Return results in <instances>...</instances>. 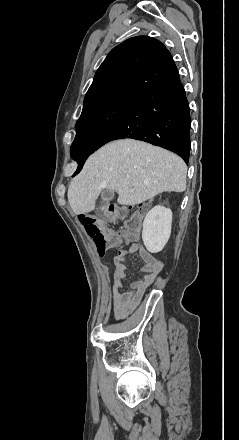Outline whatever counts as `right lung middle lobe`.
<instances>
[{
  "mask_svg": "<svg viewBox=\"0 0 239 440\" xmlns=\"http://www.w3.org/2000/svg\"><path fill=\"white\" fill-rule=\"evenodd\" d=\"M135 97L116 96L83 109L76 123L77 134L71 153L90 151L97 139L117 120Z\"/></svg>",
  "mask_w": 239,
  "mask_h": 440,
  "instance_id": "1",
  "label": "right lung middle lobe"
}]
</instances>
